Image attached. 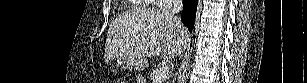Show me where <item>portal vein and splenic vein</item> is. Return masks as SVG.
<instances>
[{
  "label": "portal vein and splenic vein",
  "instance_id": "portal-vein-and-splenic-vein-1",
  "mask_svg": "<svg viewBox=\"0 0 307 83\" xmlns=\"http://www.w3.org/2000/svg\"><path fill=\"white\" fill-rule=\"evenodd\" d=\"M168 74H169V69H168V67H167V66H162V67L158 70V72H157V74H156V76H155V78H154V80H153V83H159V82H161L163 79H165V78L168 76Z\"/></svg>",
  "mask_w": 307,
  "mask_h": 83
}]
</instances>
